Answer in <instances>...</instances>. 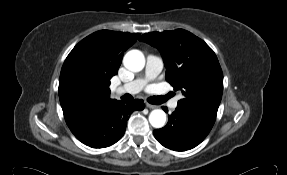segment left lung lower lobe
I'll return each mask as SVG.
<instances>
[{
  "label": "left lung lower lobe",
  "mask_w": 287,
  "mask_h": 175,
  "mask_svg": "<svg viewBox=\"0 0 287 175\" xmlns=\"http://www.w3.org/2000/svg\"><path fill=\"white\" fill-rule=\"evenodd\" d=\"M163 109L167 112L166 108ZM209 132L188 113L176 108L169 116L167 125L154 130V136L168 149L186 151L199 145Z\"/></svg>",
  "instance_id": "1"
}]
</instances>
